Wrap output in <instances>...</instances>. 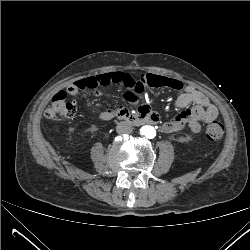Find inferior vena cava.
Wrapping results in <instances>:
<instances>
[{
	"mask_svg": "<svg viewBox=\"0 0 250 250\" xmlns=\"http://www.w3.org/2000/svg\"><path fill=\"white\" fill-rule=\"evenodd\" d=\"M116 131L118 134H130L133 131V127L129 122L122 121L118 123Z\"/></svg>",
	"mask_w": 250,
	"mask_h": 250,
	"instance_id": "obj_1",
	"label": "inferior vena cava"
}]
</instances>
